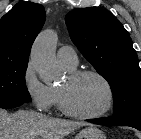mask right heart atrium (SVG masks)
<instances>
[{"mask_svg": "<svg viewBox=\"0 0 141 139\" xmlns=\"http://www.w3.org/2000/svg\"><path fill=\"white\" fill-rule=\"evenodd\" d=\"M25 91L33 105L40 111H48L54 105L52 87L45 85L38 77L32 61H28L22 74Z\"/></svg>", "mask_w": 141, "mask_h": 139, "instance_id": "1", "label": "right heart atrium"}]
</instances>
